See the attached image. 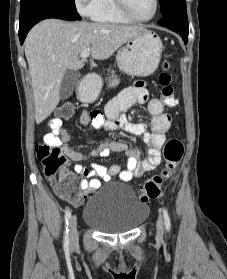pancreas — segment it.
<instances>
[{"label": "pancreas", "mask_w": 227, "mask_h": 279, "mask_svg": "<svg viewBox=\"0 0 227 279\" xmlns=\"http://www.w3.org/2000/svg\"><path fill=\"white\" fill-rule=\"evenodd\" d=\"M110 71V70H109ZM111 73L113 74L114 73V71H111Z\"/></svg>", "instance_id": "1"}]
</instances>
